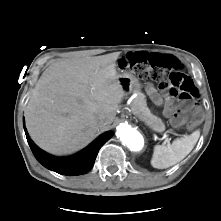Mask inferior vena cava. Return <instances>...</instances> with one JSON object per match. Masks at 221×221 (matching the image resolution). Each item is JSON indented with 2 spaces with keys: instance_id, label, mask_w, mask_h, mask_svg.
<instances>
[{
  "instance_id": "inferior-vena-cava-1",
  "label": "inferior vena cava",
  "mask_w": 221,
  "mask_h": 221,
  "mask_svg": "<svg viewBox=\"0 0 221 221\" xmlns=\"http://www.w3.org/2000/svg\"><path fill=\"white\" fill-rule=\"evenodd\" d=\"M97 121L99 124H103L105 121V117L103 115H100L97 117Z\"/></svg>"
}]
</instances>
